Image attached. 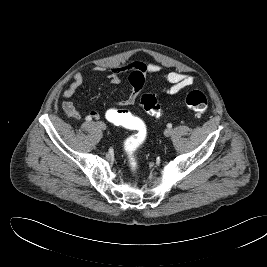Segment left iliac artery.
I'll list each match as a JSON object with an SVG mask.
<instances>
[{
	"mask_svg": "<svg viewBox=\"0 0 267 267\" xmlns=\"http://www.w3.org/2000/svg\"><path fill=\"white\" fill-rule=\"evenodd\" d=\"M167 127H168V128H172V124H171V123H168V124H167Z\"/></svg>",
	"mask_w": 267,
	"mask_h": 267,
	"instance_id": "obj_1",
	"label": "left iliac artery"
}]
</instances>
